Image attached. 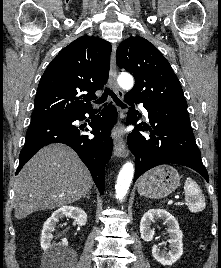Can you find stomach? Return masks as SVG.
Returning a JSON list of instances; mask_svg holds the SVG:
<instances>
[{
    "label": "stomach",
    "instance_id": "obj_1",
    "mask_svg": "<svg viewBox=\"0 0 221 268\" xmlns=\"http://www.w3.org/2000/svg\"><path fill=\"white\" fill-rule=\"evenodd\" d=\"M180 183L178 171L170 165H161L145 173L139 180L140 195L159 199L171 194Z\"/></svg>",
    "mask_w": 221,
    "mask_h": 268
}]
</instances>
